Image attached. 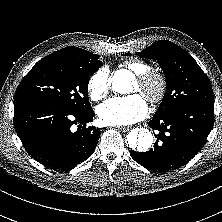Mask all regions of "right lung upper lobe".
Here are the masks:
<instances>
[{"mask_svg": "<svg viewBox=\"0 0 222 222\" xmlns=\"http://www.w3.org/2000/svg\"><path fill=\"white\" fill-rule=\"evenodd\" d=\"M86 53H89V52L78 47L70 46V47L63 48L59 51H56L55 53H52V54L54 55H81V54H86Z\"/></svg>", "mask_w": 222, "mask_h": 222, "instance_id": "obj_1", "label": "right lung upper lobe"}]
</instances>
